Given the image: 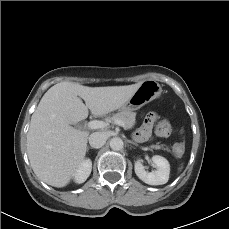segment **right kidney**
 <instances>
[{"mask_svg": "<svg viewBox=\"0 0 229 229\" xmlns=\"http://www.w3.org/2000/svg\"><path fill=\"white\" fill-rule=\"evenodd\" d=\"M92 170V162L90 159L83 161L81 166L77 169L74 179L76 183H83L87 180Z\"/></svg>", "mask_w": 229, "mask_h": 229, "instance_id": "obj_1", "label": "right kidney"}]
</instances>
